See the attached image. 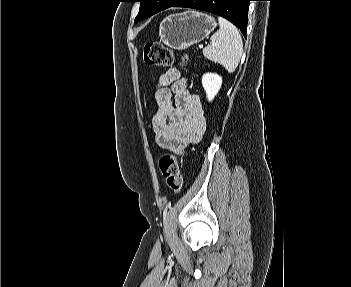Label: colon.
<instances>
[{
  "label": "colon",
  "instance_id": "1",
  "mask_svg": "<svg viewBox=\"0 0 351 287\" xmlns=\"http://www.w3.org/2000/svg\"><path fill=\"white\" fill-rule=\"evenodd\" d=\"M143 58L147 65L170 66L174 62L172 51L164 44L151 42L145 45ZM186 65V60L182 61ZM159 167L168 188L175 194L179 193L183 180L179 168V160L172 154H164L159 160Z\"/></svg>",
  "mask_w": 351,
  "mask_h": 287
}]
</instances>
